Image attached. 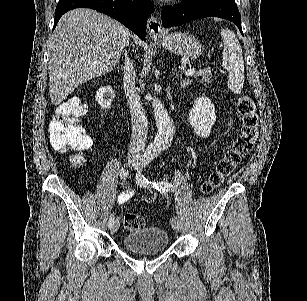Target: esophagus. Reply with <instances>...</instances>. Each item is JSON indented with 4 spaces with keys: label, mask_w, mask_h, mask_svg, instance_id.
Returning a JSON list of instances; mask_svg holds the SVG:
<instances>
[{
    "label": "esophagus",
    "mask_w": 307,
    "mask_h": 301,
    "mask_svg": "<svg viewBox=\"0 0 307 301\" xmlns=\"http://www.w3.org/2000/svg\"><path fill=\"white\" fill-rule=\"evenodd\" d=\"M147 29L150 37L153 40H161L163 35V28L161 22L158 20L157 17L152 16L149 18L147 23Z\"/></svg>",
    "instance_id": "esophagus-1"
}]
</instances>
